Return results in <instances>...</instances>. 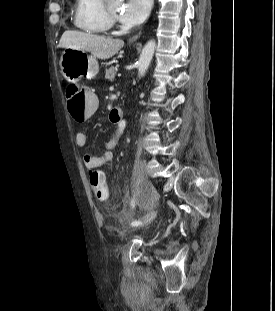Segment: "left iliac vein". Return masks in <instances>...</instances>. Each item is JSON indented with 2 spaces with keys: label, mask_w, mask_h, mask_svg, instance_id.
Returning <instances> with one entry per match:
<instances>
[{
  "label": "left iliac vein",
  "mask_w": 275,
  "mask_h": 311,
  "mask_svg": "<svg viewBox=\"0 0 275 311\" xmlns=\"http://www.w3.org/2000/svg\"><path fill=\"white\" fill-rule=\"evenodd\" d=\"M156 217V211L152 210L148 212L143 218H142V225L149 224L154 218Z\"/></svg>",
  "instance_id": "obj_1"
}]
</instances>
